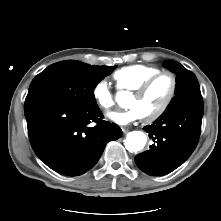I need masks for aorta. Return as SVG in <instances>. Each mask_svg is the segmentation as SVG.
Instances as JSON below:
<instances>
[{"label":"aorta","mask_w":221,"mask_h":221,"mask_svg":"<svg viewBox=\"0 0 221 221\" xmlns=\"http://www.w3.org/2000/svg\"><path fill=\"white\" fill-rule=\"evenodd\" d=\"M128 95V92L122 91L118 92L116 95V101L121 106H125V98ZM147 141L145 133L141 131H132L127 134L125 140V147L128 151L134 152L139 151L144 148Z\"/></svg>","instance_id":"762f6f07"}]
</instances>
